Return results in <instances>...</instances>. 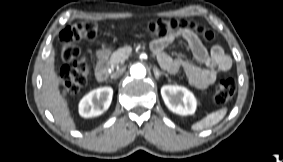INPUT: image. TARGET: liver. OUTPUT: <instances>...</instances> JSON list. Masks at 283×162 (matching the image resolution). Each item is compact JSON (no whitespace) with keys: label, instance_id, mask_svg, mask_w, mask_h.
<instances>
[{"label":"liver","instance_id":"liver-1","mask_svg":"<svg viewBox=\"0 0 283 162\" xmlns=\"http://www.w3.org/2000/svg\"><path fill=\"white\" fill-rule=\"evenodd\" d=\"M55 52L51 51L48 56L43 71V98L49 111L55 120L67 130L76 128L71 117L67 100L61 95L59 90L60 80L54 67Z\"/></svg>","mask_w":283,"mask_h":162}]
</instances>
